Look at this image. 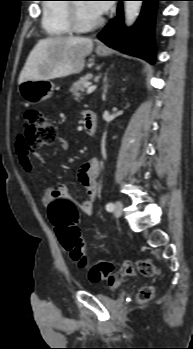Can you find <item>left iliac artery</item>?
I'll return each instance as SVG.
<instances>
[{
    "instance_id": "1",
    "label": "left iliac artery",
    "mask_w": 193,
    "mask_h": 349,
    "mask_svg": "<svg viewBox=\"0 0 193 349\" xmlns=\"http://www.w3.org/2000/svg\"><path fill=\"white\" fill-rule=\"evenodd\" d=\"M106 209H107V211H109V212L113 211V210H114V204L111 203V202L107 203Z\"/></svg>"
}]
</instances>
